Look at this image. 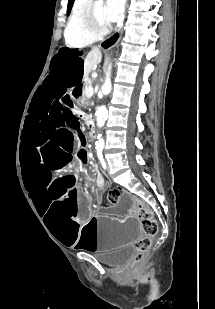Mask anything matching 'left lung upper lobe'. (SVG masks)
Returning <instances> with one entry per match:
<instances>
[{
    "label": "left lung upper lobe",
    "instance_id": "1",
    "mask_svg": "<svg viewBox=\"0 0 215 309\" xmlns=\"http://www.w3.org/2000/svg\"><path fill=\"white\" fill-rule=\"evenodd\" d=\"M73 1H74V0H69V3H68V12H69V10H70V8H71V5H72Z\"/></svg>",
    "mask_w": 215,
    "mask_h": 309
}]
</instances>
